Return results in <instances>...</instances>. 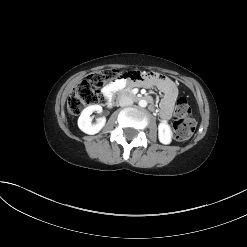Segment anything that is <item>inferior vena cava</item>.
I'll use <instances>...</instances> for the list:
<instances>
[{"mask_svg": "<svg viewBox=\"0 0 247 247\" xmlns=\"http://www.w3.org/2000/svg\"><path fill=\"white\" fill-rule=\"evenodd\" d=\"M133 104V99L127 95L123 94L119 97V105L124 107Z\"/></svg>", "mask_w": 247, "mask_h": 247, "instance_id": "1", "label": "inferior vena cava"}]
</instances>
